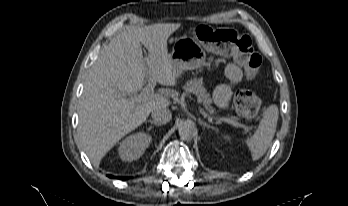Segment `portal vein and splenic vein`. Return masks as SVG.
Listing matches in <instances>:
<instances>
[{
  "label": "portal vein and splenic vein",
  "instance_id": "1",
  "mask_svg": "<svg viewBox=\"0 0 348 206\" xmlns=\"http://www.w3.org/2000/svg\"><path fill=\"white\" fill-rule=\"evenodd\" d=\"M155 85H156L155 78L150 76L149 80H148V84L143 88L142 92L139 95L130 96V99H132L138 103H141V102H145V101L151 100L153 98H156V96L158 94H154ZM202 114L204 115V117H209L205 112H202ZM209 118H211V117H209ZM215 119L218 123L226 122V123L238 126V124L233 122L230 118H215ZM211 120H212V118H211Z\"/></svg>",
  "mask_w": 348,
  "mask_h": 206
}]
</instances>
